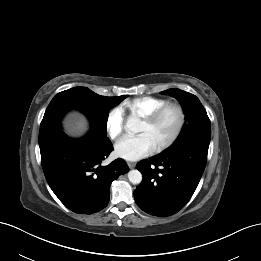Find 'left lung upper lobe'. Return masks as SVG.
<instances>
[{
  "instance_id": "5c2ea615",
  "label": "left lung upper lobe",
  "mask_w": 261,
  "mask_h": 261,
  "mask_svg": "<svg viewBox=\"0 0 261 261\" xmlns=\"http://www.w3.org/2000/svg\"><path fill=\"white\" fill-rule=\"evenodd\" d=\"M161 94L176 98L180 102L186 117L182 131L170 148L189 142L209 144L211 138L210 120L199 99L195 95L177 88L162 91Z\"/></svg>"
}]
</instances>
